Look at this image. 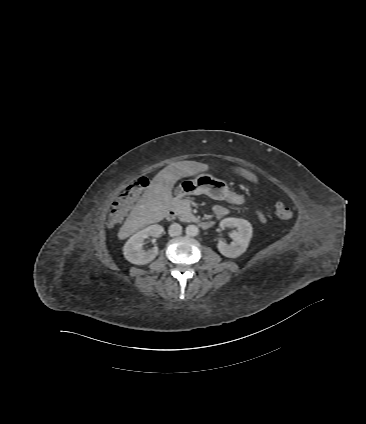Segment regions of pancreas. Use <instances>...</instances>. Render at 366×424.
I'll return each instance as SVG.
<instances>
[{
    "label": "pancreas",
    "instance_id": "cf45deb5",
    "mask_svg": "<svg viewBox=\"0 0 366 424\" xmlns=\"http://www.w3.org/2000/svg\"><path fill=\"white\" fill-rule=\"evenodd\" d=\"M176 209L178 218L183 222H196L197 218L192 214L191 201L189 199H182L176 201Z\"/></svg>",
    "mask_w": 366,
    "mask_h": 424
}]
</instances>
